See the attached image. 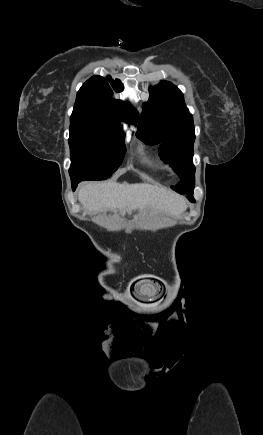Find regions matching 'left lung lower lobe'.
I'll list each match as a JSON object with an SVG mask.
<instances>
[{
	"mask_svg": "<svg viewBox=\"0 0 263 435\" xmlns=\"http://www.w3.org/2000/svg\"><path fill=\"white\" fill-rule=\"evenodd\" d=\"M192 194H193V192H192L191 194H188L187 198H188L191 202H194V198L192 197Z\"/></svg>",
	"mask_w": 263,
	"mask_h": 435,
	"instance_id": "left-lung-lower-lobe-1",
	"label": "left lung lower lobe"
}]
</instances>
